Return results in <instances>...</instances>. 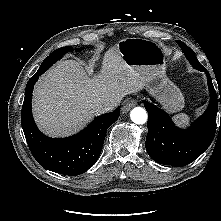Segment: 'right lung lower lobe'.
I'll list each match as a JSON object with an SVG mask.
<instances>
[{
	"label": "right lung lower lobe",
	"instance_id": "98d812e1",
	"mask_svg": "<svg viewBox=\"0 0 221 221\" xmlns=\"http://www.w3.org/2000/svg\"><path fill=\"white\" fill-rule=\"evenodd\" d=\"M47 69H39L25 89L21 123L30 151L45 169L64 174L79 175L94 165L100 156L106 130L120 115V107L94 119L80 133L67 138H50L36 126L32 116V93L39 76Z\"/></svg>",
	"mask_w": 221,
	"mask_h": 221
}]
</instances>
